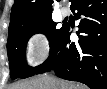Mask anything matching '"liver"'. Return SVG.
I'll return each instance as SVG.
<instances>
[{"mask_svg":"<svg viewBox=\"0 0 107 89\" xmlns=\"http://www.w3.org/2000/svg\"><path fill=\"white\" fill-rule=\"evenodd\" d=\"M9 89H86V87L43 74L15 83L9 86Z\"/></svg>","mask_w":107,"mask_h":89,"instance_id":"liver-1","label":"liver"}]
</instances>
